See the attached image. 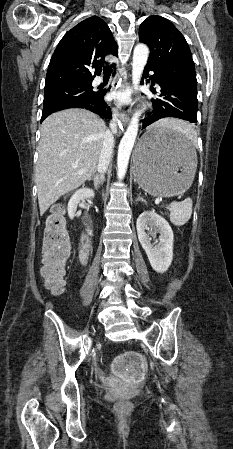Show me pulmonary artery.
I'll use <instances>...</instances> for the list:
<instances>
[{
	"instance_id": "1",
	"label": "pulmonary artery",
	"mask_w": 233,
	"mask_h": 449,
	"mask_svg": "<svg viewBox=\"0 0 233 449\" xmlns=\"http://www.w3.org/2000/svg\"><path fill=\"white\" fill-rule=\"evenodd\" d=\"M101 82H102V79H101V78H96V79L93 81V84H94V85H99Z\"/></svg>"
}]
</instances>
